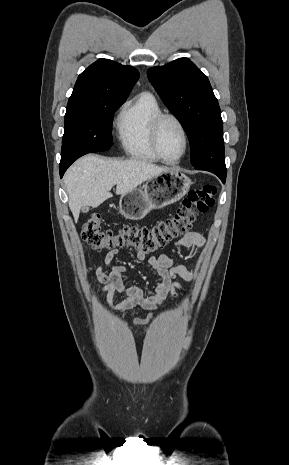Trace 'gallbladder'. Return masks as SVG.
I'll return each mask as SVG.
<instances>
[{"mask_svg":"<svg viewBox=\"0 0 289 465\" xmlns=\"http://www.w3.org/2000/svg\"><path fill=\"white\" fill-rule=\"evenodd\" d=\"M81 210H82L83 213H86V212L88 211V207H87V206H83V207L81 208Z\"/></svg>","mask_w":289,"mask_h":465,"instance_id":"obj_1","label":"gallbladder"}]
</instances>
